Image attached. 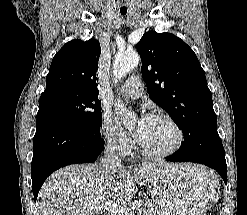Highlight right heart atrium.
<instances>
[{
    "label": "right heart atrium",
    "instance_id": "right-heart-atrium-1",
    "mask_svg": "<svg viewBox=\"0 0 247 215\" xmlns=\"http://www.w3.org/2000/svg\"><path fill=\"white\" fill-rule=\"evenodd\" d=\"M100 133L108 148L120 155H126L132 148L131 137L116 126L107 113H103L100 121Z\"/></svg>",
    "mask_w": 247,
    "mask_h": 215
}]
</instances>
